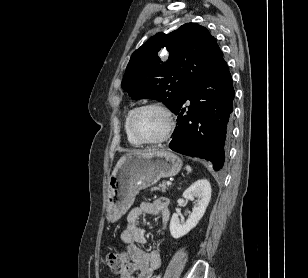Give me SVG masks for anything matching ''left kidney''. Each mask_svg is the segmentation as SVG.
<instances>
[{"label": "left kidney", "mask_w": 308, "mask_h": 278, "mask_svg": "<svg viewBox=\"0 0 308 278\" xmlns=\"http://www.w3.org/2000/svg\"><path fill=\"white\" fill-rule=\"evenodd\" d=\"M211 185L206 179H201L193 183L184 191L183 197L187 200L194 201L193 211L185 223L180 222L177 213L172 215L170 221V233L173 238L178 239L186 235L193 229L203 217L206 208L211 199Z\"/></svg>", "instance_id": "left-kidney-1"}]
</instances>
